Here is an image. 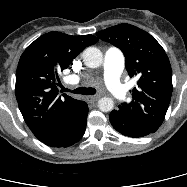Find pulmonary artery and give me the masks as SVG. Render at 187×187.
<instances>
[{
	"label": "pulmonary artery",
	"instance_id": "1",
	"mask_svg": "<svg viewBox=\"0 0 187 187\" xmlns=\"http://www.w3.org/2000/svg\"><path fill=\"white\" fill-rule=\"evenodd\" d=\"M123 67L124 57L122 52L115 47L109 48L104 56V81L107 88L119 99H124L126 96V90L120 81ZM79 81V76H70L67 79V82L71 84H77Z\"/></svg>",
	"mask_w": 187,
	"mask_h": 187
}]
</instances>
